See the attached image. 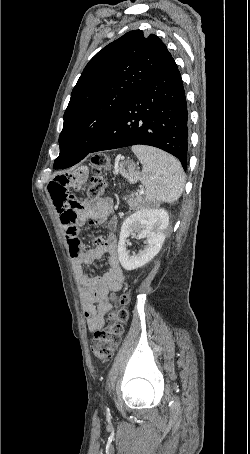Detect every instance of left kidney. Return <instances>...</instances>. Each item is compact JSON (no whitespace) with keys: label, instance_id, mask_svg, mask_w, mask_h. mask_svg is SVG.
Wrapping results in <instances>:
<instances>
[{"label":"left kidney","instance_id":"1","mask_svg":"<svg viewBox=\"0 0 250 454\" xmlns=\"http://www.w3.org/2000/svg\"><path fill=\"white\" fill-rule=\"evenodd\" d=\"M169 216L163 208L143 207L126 218L122 224L118 243V255L125 270H134L151 261L161 250ZM136 233L138 239H146L147 246L138 254L130 255L127 238Z\"/></svg>","mask_w":250,"mask_h":454}]
</instances>
